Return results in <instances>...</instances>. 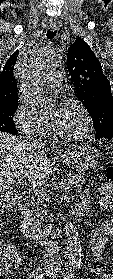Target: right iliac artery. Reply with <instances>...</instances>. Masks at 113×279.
<instances>
[{
	"instance_id": "1",
	"label": "right iliac artery",
	"mask_w": 113,
	"mask_h": 279,
	"mask_svg": "<svg viewBox=\"0 0 113 279\" xmlns=\"http://www.w3.org/2000/svg\"><path fill=\"white\" fill-rule=\"evenodd\" d=\"M45 271H43L41 268H38L33 271L32 277L34 279H44Z\"/></svg>"
}]
</instances>
